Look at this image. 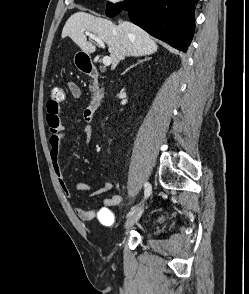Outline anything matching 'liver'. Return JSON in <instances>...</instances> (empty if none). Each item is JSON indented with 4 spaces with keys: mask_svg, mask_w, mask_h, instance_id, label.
<instances>
[{
    "mask_svg": "<svg viewBox=\"0 0 249 294\" xmlns=\"http://www.w3.org/2000/svg\"><path fill=\"white\" fill-rule=\"evenodd\" d=\"M85 32L96 34L108 45L112 69L125 58L151 55L158 49L156 42L147 32L128 21H119L118 25L111 21L95 17L80 11L73 14L65 23L62 38L70 37L83 52L93 53L96 46L87 41Z\"/></svg>",
    "mask_w": 249,
    "mask_h": 294,
    "instance_id": "liver-1",
    "label": "liver"
}]
</instances>
